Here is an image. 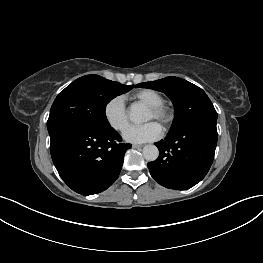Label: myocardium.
<instances>
[{"mask_svg":"<svg viewBox=\"0 0 263 263\" xmlns=\"http://www.w3.org/2000/svg\"><path fill=\"white\" fill-rule=\"evenodd\" d=\"M149 110L152 111V113L155 116V119L164 126L169 125L173 120L174 114L172 109L164 103L150 106Z\"/></svg>","mask_w":263,"mask_h":263,"instance_id":"1","label":"myocardium"}]
</instances>
